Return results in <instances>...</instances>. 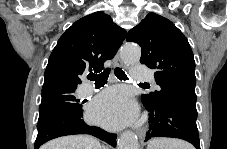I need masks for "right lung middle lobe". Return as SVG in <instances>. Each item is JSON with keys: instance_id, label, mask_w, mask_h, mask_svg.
<instances>
[{"instance_id": "1", "label": "right lung middle lobe", "mask_w": 227, "mask_h": 149, "mask_svg": "<svg viewBox=\"0 0 227 149\" xmlns=\"http://www.w3.org/2000/svg\"><path fill=\"white\" fill-rule=\"evenodd\" d=\"M76 88V85L68 84H55L42 88L39 120L62 112L82 113L80 100L74 96Z\"/></svg>"}]
</instances>
